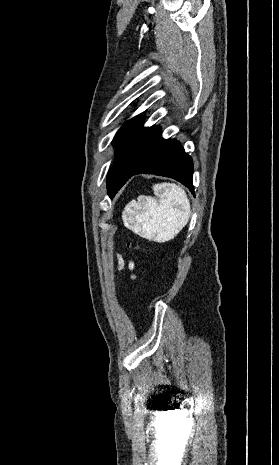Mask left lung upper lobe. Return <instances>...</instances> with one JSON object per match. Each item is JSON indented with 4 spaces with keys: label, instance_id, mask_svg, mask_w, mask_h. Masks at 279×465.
Instances as JSON below:
<instances>
[{
    "label": "left lung upper lobe",
    "instance_id": "left-lung-upper-lobe-1",
    "mask_svg": "<svg viewBox=\"0 0 279 465\" xmlns=\"http://www.w3.org/2000/svg\"><path fill=\"white\" fill-rule=\"evenodd\" d=\"M144 113L127 121L113 139L115 163L107 176L109 194H115L134 172L166 141L159 127H142Z\"/></svg>",
    "mask_w": 279,
    "mask_h": 465
}]
</instances>
